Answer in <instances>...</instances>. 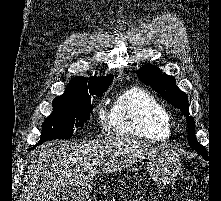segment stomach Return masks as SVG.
Masks as SVG:
<instances>
[{
  "instance_id": "1",
  "label": "stomach",
  "mask_w": 221,
  "mask_h": 201,
  "mask_svg": "<svg viewBox=\"0 0 221 201\" xmlns=\"http://www.w3.org/2000/svg\"><path fill=\"white\" fill-rule=\"evenodd\" d=\"M150 177L160 184H172L182 172V163L175 151L159 152L148 156Z\"/></svg>"
}]
</instances>
